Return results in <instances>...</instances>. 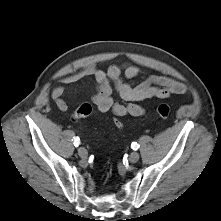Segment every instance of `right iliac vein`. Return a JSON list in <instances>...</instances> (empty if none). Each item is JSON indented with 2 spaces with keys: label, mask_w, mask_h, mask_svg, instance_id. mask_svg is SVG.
I'll return each instance as SVG.
<instances>
[{
  "label": "right iliac vein",
  "mask_w": 221,
  "mask_h": 221,
  "mask_svg": "<svg viewBox=\"0 0 221 221\" xmlns=\"http://www.w3.org/2000/svg\"><path fill=\"white\" fill-rule=\"evenodd\" d=\"M78 154L81 158H86L87 157V150L84 147H79L78 148Z\"/></svg>",
  "instance_id": "right-iliac-vein-1"
}]
</instances>
